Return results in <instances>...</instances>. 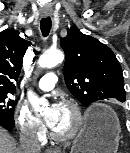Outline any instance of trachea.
I'll list each match as a JSON object with an SVG mask.
<instances>
[{
    "label": "trachea",
    "mask_w": 130,
    "mask_h": 153,
    "mask_svg": "<svg viewBox=\"0 0 130 153\" xmlns=\"http://www.w3.org/2000/svg\"><path fill=\"white\" fill-rule=\"evenodd\" d=\"M52 26V21L50 17L43 18L40 21L41 32L44 37L48 36Z\"/></svg>",
    "instance_id": "3493384b"
}]
</instances>
